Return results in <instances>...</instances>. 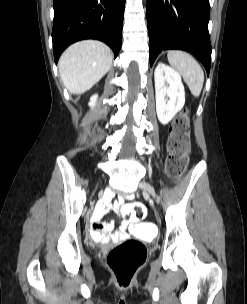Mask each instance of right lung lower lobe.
Instances as JSON below:
<instances>
[{
  "label": "right lung lower lobe",
  "instance_id": "98d812e1",
  "mask_svg": "<svg viewBox=\"0 0 247 304\" xmlns=\"http://www.w3.org/2000/svg\"><path fill=\"white\" fill-rule=\"evenodd\" d=\"M125 0H54L53 51L57 63L64 49L82 39H97L115 57L122 41Z\"/></svg>",
  "mask_w": 247,
  "mask_h": 304
}]
</instances>
